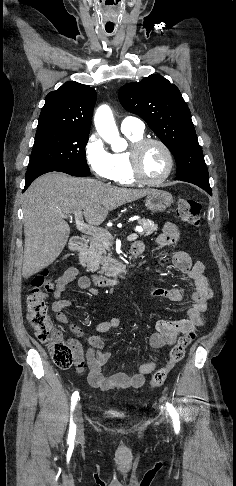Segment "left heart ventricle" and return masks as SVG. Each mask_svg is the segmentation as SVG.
<instances>
[{"mask_svg": "<svg viewBox=\"0 0 236 486\" xmlns=\"http://www.w3.org/2000/svg\"><path fill=\"white\" fill-rule=\"evenodd\" d=\"M167 158L162 148L156 144L147 146L141 156V168L144 176L155 180L160 178L167 169Z\"/></svg>", "mask_w": 236, "mask_h": 486, "instance_id": "b2bd125f", "label": "left heart ventricle"}]
</instances>
